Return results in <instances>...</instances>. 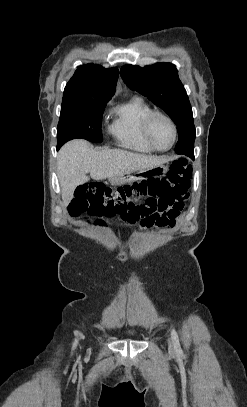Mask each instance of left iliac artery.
I'll return each instance as SVG.
<instances>
[{
	"label": "left iliac artery",
	"mask_w": 247,
	"mask_h": 407,
	"mask_svg": "<svg viewBox=\"0 0 247 407\" xmlns=\"http://www.w3.org/2000/svg\"><path fill=\"white\" fill-rule=\"evenodd\" d=\"M171 337H172V341H173L175 350L177 352H182V349H181V346H180V343H179L178 334H177L175 329L171 330Z\"/></svg>",
	"instance_id": "left-iliac-artery-1"
}]
</instances>
